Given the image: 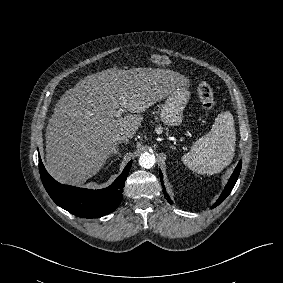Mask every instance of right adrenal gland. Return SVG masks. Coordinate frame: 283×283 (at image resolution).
Instances as JSON below:
<instances>
[{"label": "right adrenal gland", "instance_id": "right-adrenal-gland-1", "mask_svg": "<svg viewBox=\"0 0 283 283\" xmlns=\"http://www.w3.org/2000/svg\"><path fill=\"white\" fill-rule=\"evenodd\" d=\"M113 155H119V147H118V143L114 144L112 151H111V156Z\"/></svg>", "mask_w": 283, "mask_h": 283}]
</instances>
